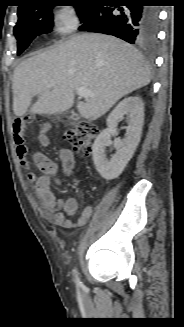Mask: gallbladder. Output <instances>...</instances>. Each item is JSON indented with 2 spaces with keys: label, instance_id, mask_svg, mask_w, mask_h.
<instances>
[{
  "label": "gallbladder",
  "instance_id": "gallbladder-1",
  "mask_svg": "<svg viewBox=\"0 0 184 327\" xmlns=\"http://www.w3.org/2000/svg\"><path fill=\"white\" fill-rule=\"evenodd\" d=\"M70 118L73 119V120H76V119L79 118V116L77 114H75V113H72V115L70 116Z\"/></svg>",
  "mask_w": 184,
  "mask_h": 327
}]
</instances>
